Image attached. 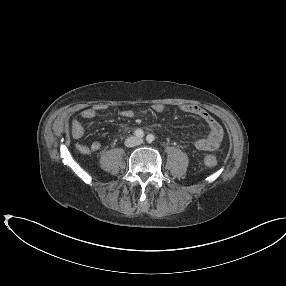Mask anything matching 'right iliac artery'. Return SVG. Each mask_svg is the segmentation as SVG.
Instances as JSON below:
<instances>
[{"label":"right iliac artery","mask_w":286,"mask_h":286,"mask_svg":"<svg viewBox=\"0 0 286 286\" xmlns=\"http://www.w3.org/2000/svg\"><path fill=\"white\" fill-rule=\"evenodd\" d=\"M134 134H135V136L138 137V138H142V137L144 136V132H143V130H141V129L135 130Z\"/></svg>","instance_id":"obj_1"}]
</instances>
